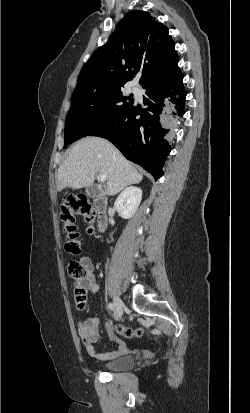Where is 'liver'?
<instances>
[{
  "mask_svg": "<svg viewBox=\"0 0 250 413\" xmlns=\"http://www.w3.org/2000/svg\"><path fill=\"white\" fill-rule=\"evenodd\" d=\"M105 174L107 193L113 196L141 182L143 176L108 140L85 137L71 148L56 175L57 191L91 186L97 174Z\"/></svg>",
  "mask_w": 250,
  "mask_h": 413,
  "instance_id": "liver-1",
  "label": "liver"
}]
</instances>
